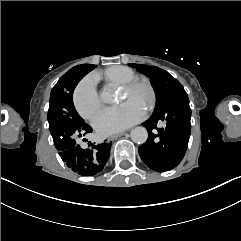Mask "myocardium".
<instances>
[{
	"label": "myocardium",
	"mask_w": 241,
	"mask_h": 241,
	"mask_svg": "<svg viewBox=\"0 0 241 241\" xmlns=\"http://www.w3.org/2000/svg\"><path fill=\"white\" fill-rule=\"evenodd\" d=\"M142 73H137L136 78L132 77L123 83L124 88H134L138 81H141Z\"/></svg>",
	"instance_id": "f54148a6"
}]
</instances>
